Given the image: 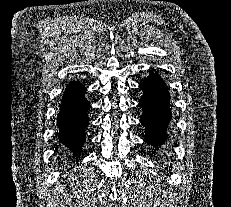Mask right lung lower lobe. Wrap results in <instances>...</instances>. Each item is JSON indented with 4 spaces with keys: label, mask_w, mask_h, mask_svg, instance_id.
<instances>
[{
    "label": "right lung lower lobe",
    "mask_w": 231,
    "mask_h": 207,
    "mask_svg": "<svg viewBox=\"0 0 231 207\" xmlns=\"http://www.w3.org/2000/svg\"><path fill=\"white\" fill-rule=\"evenodd\" d=\"M84 94L83 84L71 81L65 89L57 116L58 138L75 156L79 155L85 142V129L89 124L87 111L90 104Z\"/></svg>",
    "instance_id": "98d812e1"
}]
</instances>
